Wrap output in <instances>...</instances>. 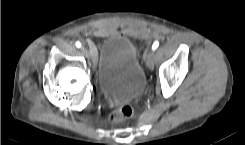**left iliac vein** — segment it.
Here are the masks:
<instances>
[{"label": "left iliac vein", "mask_w": 245, "mask_h": 145, "mask_svg": "<svg viewBox=\"0 0 245 145\" xmlns=\"http://www.w3.org/2000/svg\"><path fill=\"white\" fill-rule=\"evenodd\" d=\"M154 60H155L154 52L153 51H148V53L146 54V64H147L149 69H153Z\"/></svg>", "instance_id": "4c4485c4"}]
</instances>
